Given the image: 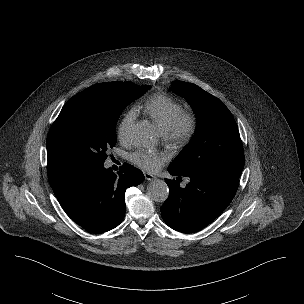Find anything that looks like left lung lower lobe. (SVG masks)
<instances>
[{
	"mask_svg": "<svg viewBox=\"0 0 304 304\" xmlns=\"http://www.w3.org/2000/svg\"><path fill=\"white\" fill-rule=\"evenodd\" d=\"M173 176H188L190 182L181 188L177 180L165 179L170 195L161 207L165 223L183 233L196 232L215 220L234 198L239 179L220 174L182 175L168 168Z\"/></svg>",
	"mask_w": 304,
	"mask_h": 304,
	"instance_id": "1",
	"label": "left lung lower lobe"
}]
</instances>
